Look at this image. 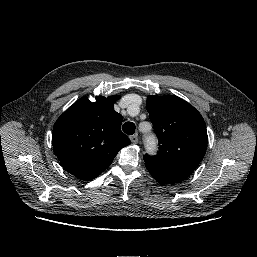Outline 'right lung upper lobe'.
I'll return each mask as SVG.
<instances>
[{
	"label": "right lung upper lobe",
	"instance_id": "obj_1",
	"mask_svg": "<svg viewBox=\"0 0 257 257\" xmlns=\"http://www.w3.org/2000/svg\"><path fill=\"white\" fill-rule=\"evenodd\" d=\"M120 96L77 100L56 121L53 150L62 167L74 176L91 180L100 175L130 139L121 132L123 117L114 110Z\"/></svg>",
	"mask_w": 257,
	"mask_h": 257
}]
</instances>
